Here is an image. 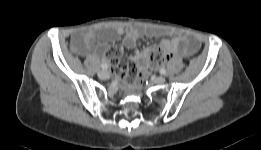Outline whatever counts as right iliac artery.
Returning a JSON list of instances; mask_svg holds the SVG:
<instances>
[{
	"label": "right iliac artery",
	"mask_w": 261,
	"mask_h": 150,
	"mask_svg": "<svg viewBox=\"0 0 261 150\" xmlns=\"http://www.w3.org/2000/svg\"><path fill=\"white\" fill-rule=\"evenodd\" d=\"M101 68H102L103 70H106V69L108 68V65H107V64H102V65H101Z\"/></svg>",
	"instance_id": "obj_1"
}]
</instances>
